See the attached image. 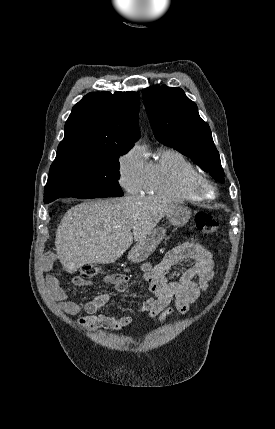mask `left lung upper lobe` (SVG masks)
<instances>
[{
	"label": "left lung upper lobe",
	"mask_w": 275,
	"mask_h": 429,
	"mask_svg": "<svg viewBox=\"0 0 275 429\" xmlns=\"http://www.w3.org/2000/svg\"><path fill=\"white\" fill-rule=\"evenodd\" d=\"M143 100L156 139L190 157L215 180L224 183V170L209 125L184 91L154 85L143 91Z\"/></svg>",
	"instance_id": "left-lung-upper-lobe-1"
}]
</instances>
